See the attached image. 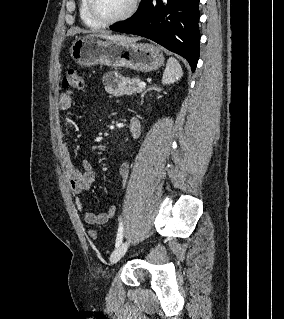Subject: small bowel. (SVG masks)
Listing matches in <instances>:
<instances>
[{"label": "small bowel", "mask_w": 284, "mask_h": 319, "mask_svg": "<svg viewBox=\"0 0 284 319\" xmlns=\"http://www.w3.org/2000/svg\"><path fill=\"white\" fill-rule=\"evenodd\" d=\"M75 102L74 93L70 90H66L61 93L57 106L60 110H68L70 109ZM130 130H135L136 136L141 133L142 124L141 122L134 118L130 123ZM59 136L62 140L65 139L66 132L63 128L59 130ZM64 161L66 167V174L69 180L70 188L75 196V206L78 211L84 210V205L82 202V194L87 191L96 179V172L94 168L87 162H83V169H78L72 162L69 151L67 147H64ZM130 165L128 163H124L119 168V174L122 178V183L125 185L129 174H130ZM116 213V207L111 205L104 212L94 213V212H85L84 213V221L89 225H102L105 224L108 220L114 217Z\"/></svg>", "instance_id": "obj_1"}]
</instances>
